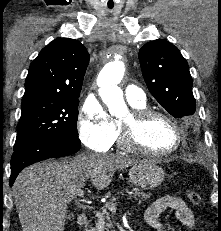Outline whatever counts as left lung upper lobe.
I'll return each mask as SVG.
<instances>
[{"mask_svg":"<svg viewBox=\"0 0 221 231\" xmlns=\"http://www.w3.org/2000/svg\"><path fill=\"white\" fill-rule=\"evenodd\" d=\"M139 61L149 91L172 116L194 114L192 77L177 47L162 39L150 41L139 50Z\"/></svg>","mask_w":221,"mask_h":231,"instance_id":"left-lung-upper-lobe-1","label":"left lung upper lobe"}]
</instances>
